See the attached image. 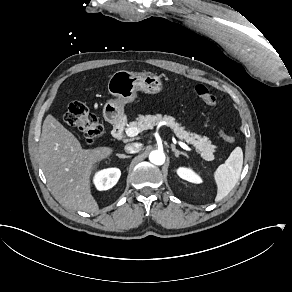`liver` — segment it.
I'll list each match as a JSON object with an SVG mask.
<instances>
[{
    "label": "liver",
    "instance_id": "obj_1",
    "mask_svg": "<svg viewBox=\"0 0 292 292\" xmlns=\"http://www.w3.org/2000/svg\"><path fill=\"white\" fill-rule=\"evenodd\" d=\"M39 153L41 169L60 202L74 210L97 212L98 204L90 193V175L95 163L107 158L112 149H82L77 138L48 115L42 126Z\"/></svg>",
    "mask_w": 292,
    "mask_h": 292
}]
</instances>
